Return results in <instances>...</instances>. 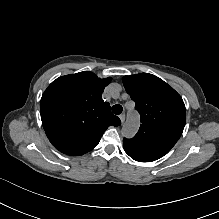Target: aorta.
Segmentation results:
<instances>
[{
  "label": "aorta",
  "instance_id": "1",
  "mask_svg": "<svg viewBox=\"0 0 219 219\" xmlns=\"http://www.w3.org/2000/svg\"><path fill=\"white\" fill-rule=\"evenodd\" d=\"M139 116L137 113H129L128 119L122 128V135L125 137H133L139 128Z\"/></svg>",
  "mask_w": 219,
  "mask_h": 219
}]
</instances>
